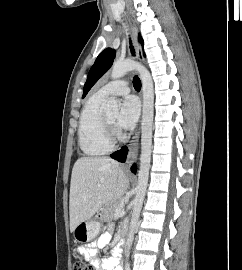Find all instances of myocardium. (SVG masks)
Returning <instances> with one entry per match:
<instances>
[{
	"label": "myocardium",
	"mask_w": 242,
	"mask_h": 270,
	"mask_svg": "<svg viewBox=\"0 0 242 270\" xmlns=\"http://www.w3.org/2000/svg\"><path fill=\"white\" fill-rule=\"evenodd\" d=\"M104 129L108 144L114 147L117 142L121 140V133L117 129L116 125L113 124L106 115H104Z\"/></svg>",
	"instance_id": "obj_1"
}]
</instances>
